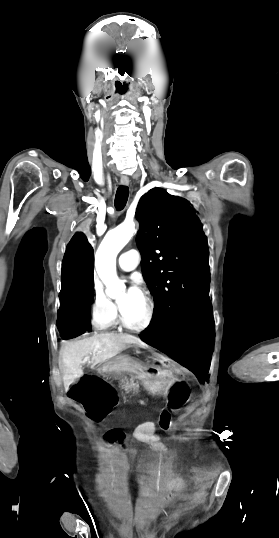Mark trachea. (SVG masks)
Here are the masks:
<instances>
[{
	"mask_svg": "<svg viewBox=\"0 0 279 538\" xmlns=\"http://www.w3.org/2000/svg\"><path fill=\"white\" fill-rule=\"evenodd\" d=\"M129 196V188L127 186H119L116 191L114 205L117 211H121L126 206Z\"/></svg>",
	"mask_w": 279,
	"mask_h": 538,
	"instance_id": "trachea-1",
	"label": "trachea"
}]
</instances>
